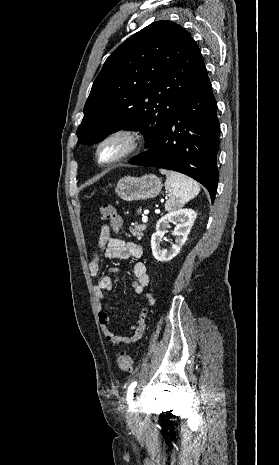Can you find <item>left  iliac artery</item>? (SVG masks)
Segmentation results:
<instances>
[{
    "mask_svg": "<svg viewBox=\"0 0 279 465\" xmlns=\"http://www.w3.org/2000/svg\"><path fill=\"white\" fill-rule=\"evenodd\" d=\"M136 385H137V382L134 381L128 387V391H127V401H128V404L131 406L132 409L134 408L133 393H134V389H135Z\"/></svg>",
    "mask_w": 279,
    "mask_h": 465,
    "instance_id": "left-iliac-artery-1",
    "label": "left iliac artery"
}]
</instances>
